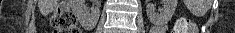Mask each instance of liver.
<instances>
[{
    "label": "liver",
    "mask_w": 235,
    "mask_h": 33,
    "mask_svg": "<svg viewBox=\"0 0 235 33\" xmlns=\"http://www.w3.org/2000/svg\"><path fill=\"white\" fill-rule=\"evenodd\" d=\"M55 1L53 0H39L38 6L42 15L49 14L54 7Z\"/></svg>",
    "instance_id": "liver-1"
}]
</instances>
